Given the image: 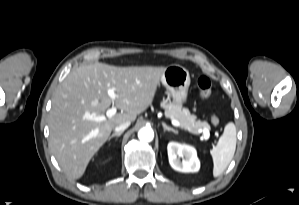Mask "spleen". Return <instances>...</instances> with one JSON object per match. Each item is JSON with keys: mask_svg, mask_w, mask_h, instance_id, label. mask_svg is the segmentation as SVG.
Returning a JSON list of instances; mask_svg holds the SVG:
<instances>
[{"mask_svg": "<svg viewBox=\"0 0 299 205\" xmlns=\"http://www.w3.org/2000/svg\"><path fill=\"white\" fill-rule=\"evenodd\" d=\"M236 127L230 122L225 126L218 143L211 150L213 159V176H220L233 159L236 150Z\"/></svg>", "mask_w": 299, "mask_h": 205, "instance_id": "3e777b00", "label": "spleen"}]
</instances>
